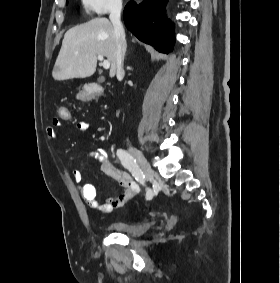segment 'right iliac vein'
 I'll list each match as a JSON object with an SVG mask.
<instances>
[{"label":"right iliac vein","instance_id":"1","mask_svg":"<svg viewBox=\"0 0 280 283\" xmlns=\"http://www.w3.org/2000/svg\"><path fill=\"white\" fill-rule=\"evenodd\" d=\"M130 152L133 155V157L136 159L137 163L139 164L145 176L147 178L150 177L153 174V170L149 162L145 158L144 154L136 147H130Z\"/></svg>","mask_w":280,"mask_h":283}]
</instances>
